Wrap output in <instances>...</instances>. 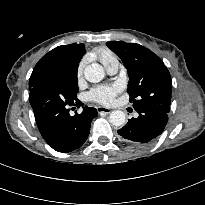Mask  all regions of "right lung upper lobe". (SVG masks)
Returning a JSON list of instances; mask_svg holds the SVG:
<instances>
[{"label": "right lung upper lobe", "instance_id": "1", "mask_svg": "<svg viewBox=\"0 0 205 205\" xmlns=\"http://www.w3.org/2000/svg\"><path fill=\"white\" fill-rule=\"evenodd\" d=\"M84 53L83 44H70L52 49L36 64L29 79V89L54 75H67L69 72L77 70Z\"/></svg>", "mask_w": 205, "mask_h": 205}]
</instances>
